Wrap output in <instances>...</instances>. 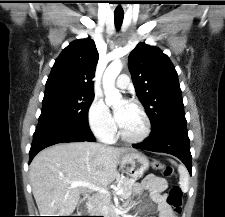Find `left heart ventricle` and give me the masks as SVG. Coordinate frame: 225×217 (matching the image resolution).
<instances>
[{
    "label": "left heart ventricle",
    "mask_w": 225,
    "mask_h": 217,
    "mask_svg": "<svg viewBox=\"0 0 225 217\" xmlns=\"http://www.w3.org/2000/svg\"><path fill=\"white\" fill-rule=\"evenodd\" d=\"M122 101H119L116 104V109L120 107ZM122 131L129 136H136L140 134L143 128V119L139 111L133 107L131 104H128L125 118L123 123L120 125Z\"/></svg>",
    "instance_id": "obj_1"
}]
</instances>
